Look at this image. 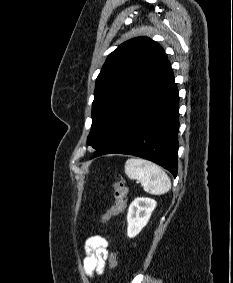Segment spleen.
Instances as JSON below:
<instances>
[{"mask_svg":"<svg viewBox=\"0 0 233 283\" xmlns=\"http://www.w3.org/2000/svg\"><path fill=\"white\" fill-rule=\"evenodd\" d=\"M125 173L128 178L138 180L143 189L150 194L162 195L171 189L168 175L150 161L130 158L125 163Z\"/></svg>","mask_w":233,"mask_h":283,"instance_id":"obj_1","label":"spleen"}]
</instances>
